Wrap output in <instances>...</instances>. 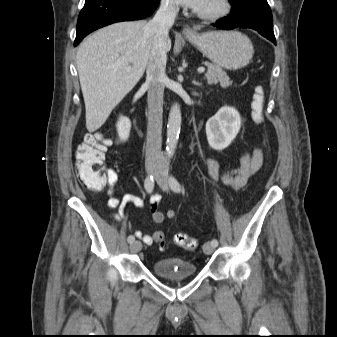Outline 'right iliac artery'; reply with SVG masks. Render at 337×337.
Listing matches in <instances>:
<instances>
[{"instance_id":"right-iliac-artery-1","label":"right iliac artery","mask_w":337,"mask_h":337,"mask_svg":"<svg viewBox=\"0 0 337 337\" xmlns=\"http://www.w3.org/2000/svg\"><path fill=\"white\" fill-rule=\"evenodd\" d=\"M144 187L148 193H152L153 188H154V178L152 175H148L146 177L145 182H144ZM127 240L129 243H132L134 242L135 237L133 235H129Z\"/></svg>"}]
</instances>
